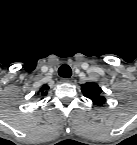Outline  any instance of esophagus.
I'll return each instance as SVG.
<instances>
[{"label": "esophagus", "mask_w": 137, "mask_h": 145, "mask_svg": "<svg viewBox=\"0 0 137 145\" xmlns=\"http://www.w3.org/2000/svg\"><path fill=\"white\" fill-rule=\"evenodd\" d=\"M62 82H64V83H70L71 79L70 78H63Z\"/></svg>", "instance_id": "34e87169"}]
</instances>
